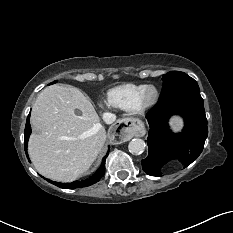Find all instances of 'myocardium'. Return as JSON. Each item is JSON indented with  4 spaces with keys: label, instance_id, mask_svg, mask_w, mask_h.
<instances>
[{
    "label": "myocardium",
    "instance_id": "obj_1",
    "mask_svg": "<svg viewBox=\"0 0 233 233\" xmlns=\"http://www.w3.org/2000/svg\"><path fill=\"white\" fill-rule=\"evenodd\" d=\"M150 91L153 92V96L151 98L148 97V93ZM158 98L159 92L157 88L154 85H146L138 98L136 111L144 112L152 107L158 101Z\"/></svg>",
    "mask_w": 233,
    "mask_h": 233
}]
</instances>
